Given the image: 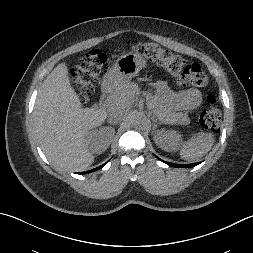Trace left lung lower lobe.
Here are the masks:
<instances>
[{
	"label": "left lung lower lobe",
	"mask_w": 253,
	"mask_h": 253,
	"mask_svg": "<svg viewBox=\"0 0 253 253\" xmlns=\"http://www.w3.org/2000/svg\"><path fill=\"white\" fill-rule=\"evenodd\" d=\"M165 163L172 166V167H194V166L198 165L200 162L199 163H192V164H175V163H169V162H165Z\"/></svg>",
	"instance_id": "obj_1"
}]
</instances>
